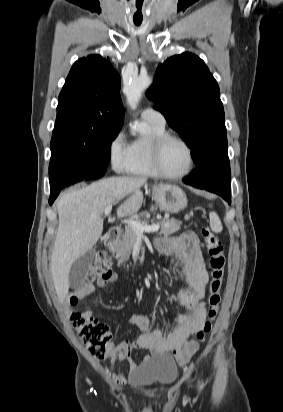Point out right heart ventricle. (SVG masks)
Returning <instances> with one entry per match:
<instances>
[{"label": "right heart ventricle", "instance_id": "1", "mask_svg": "<svg viewBox=\"0 0 283 412\" xmlns=\"http://www.w3.org/2000/svg\"><path fill=\"white\" fill-rule=\"evenodd\" d=\"M145 134L128 144V159L124 171L133 175L155 176L157 172L152 163V145L154 140L166 133L165 126L146 122Z\"/></svg>", "mask_w": 283, "mask_h": 412}]
</instances>
